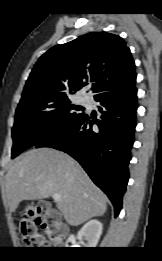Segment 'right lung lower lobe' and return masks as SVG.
Here are the masks:
<instances>
[{"label":"right lung lower lobe","instance_id":"obj_1","mask_svg":"<svg viewBox=\"0 0 162 261\" xmlns=\"http://www.w3.org/2000/svg\"><path fill=\"white\" fill-rule=\"evenodd\" d=\"M101 103L100 120L87 114L49 135L35 147H51L76 159L93 182L110 198L115 216L129 179L128 164L136 127L137 90L135 84L95 98ZM96 124L98 130H92Z\"/></svg>","mask_w":162,"mask_h":261}]
</instances>
